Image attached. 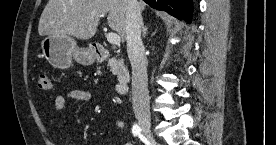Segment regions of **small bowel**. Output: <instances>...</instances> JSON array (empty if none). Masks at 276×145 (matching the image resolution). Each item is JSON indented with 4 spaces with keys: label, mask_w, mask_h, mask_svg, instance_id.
I'll return each instance as SVG.
<instances>
[{
    "label": "small bowel",
    "mask_w": 276,
    "mask_h": 145,
    "mask_svg": "<svg viewBox=\"0 0 276 145\" xmlns=\"http://www.w3.org/2000/svg\"><path fill=\"white\" fill-rule=\"evenodd\" d=\"M68 100H74L79 102H92L94 101L93 95L89 91L85 90H71L65 94L59 95L54 100V108L57 112H62L66 106ZM117 129L123 130L125 128V122L118 119L115 123ZM125 145H131L130 143H125Z\"/></svg>",
    "instance_id": "obj_1"
}]
</instances>
